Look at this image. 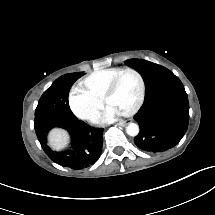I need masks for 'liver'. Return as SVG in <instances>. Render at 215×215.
Listing matches in <instances>:
<instances>
[{"instance_id": "6515ba94", "label": "liver", "mask_w": 215, "mask_h": 215, "mask_svg": "<svg viewBox=\"0 0 215 215\" xmlns=\"http://www.w3.org/2000/svg\"><path fill=\"white\" fill-rule=\"evenodd\" d=\"M46 139L49 149L57 153L65 152L72 144L69 131L59 126L50 128Z\"/></svg>"}]
</instances>
